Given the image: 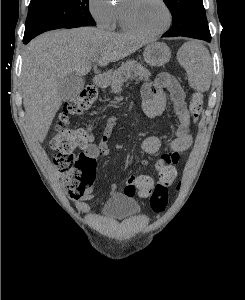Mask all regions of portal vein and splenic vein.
Returning <instances> with one entry per match:
<instances>
[{
  "mask_svg": "<svg viewBox=\"0 0 245 300\" xmlns=\"http://www.w3.org/2000/svg\"><path fill=\"white\" fill-rule=\"evenodd\" d=\"M99 60V58L98 57H95L94 59H92V62H96V61H98Z\"/></svg>",
  "mask_w": 245,
  "mask_h": 300,
  "instance_id": "1",
  "label": "portal vein and splenic vein"
}]
</instances>
